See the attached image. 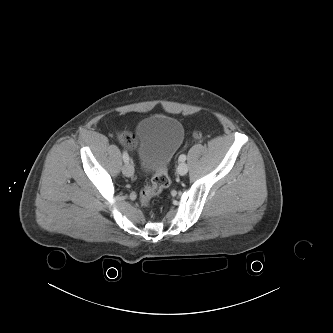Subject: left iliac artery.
I'll use <instances>...</instances> for the list:
<instances>
[{"label":"left iliac artery","instance_id":"left-iliac-artery-1","mask_svg":"<svg viewBox=\"0 0 333 333\" xmlns=\"http://www.w3.org/2000/svg\"><path fill=\"white\" fill-rule=\"evenodd\" d=\"M185 160H186V155L185 154H181L179 156V161L184 162Z\"/></svg>","mask_w":333,"mask_h":333}]
</instances>
